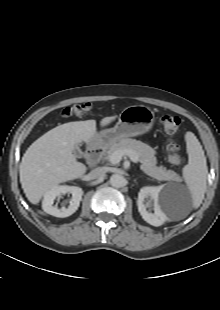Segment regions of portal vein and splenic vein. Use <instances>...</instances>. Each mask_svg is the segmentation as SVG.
Wrapping results in <instances>:
<instances>
[{
  "mask_svg": "<svg viewBox=\"0 0 220 310\" xmlns=\"http://www.w3.org/2000/svg\"><path fill=\"white\" fill-rule=\"evenodd\" d=\"M124 155H127L130 158V160L134 163L139 162V157L134 152L122 151V150H118V151H115L114 153H112V155L109 158V161L111 164H117L121 161V159Z\"/></svg>",
  "mask_w": 220,
  "mask_h": 310,
  "instance_id": "18ae733b",
  "label": "portal vein and splenic vein"
}]
</instances>
